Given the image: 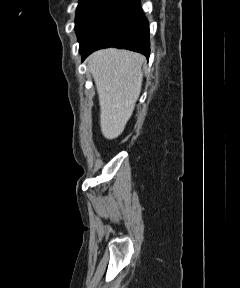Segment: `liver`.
I'll use <instances>...</instances> for the list:
<instances>
[{
  "label": "liver",
  "mask_w": 240,
  "mask_h": 288,
  "mask_svg": "<svg viewBox=\"0 0 240 288\" xmlns=\"http://www.w3.org/2000/svg\"><path fill=\"white\" fill-rule=\"evenodd\" d=\"M145 57L115 48L102 49L88 58L100 104V126L106 139L122 134L133 114L143 82Z\"/></svg>",
  "instance_id": "liver-1"
}]
</instances>
